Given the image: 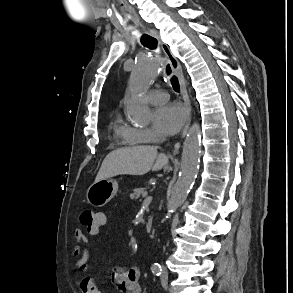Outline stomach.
<instances>
[{"instance_id": "0dacf381", "label": "stomach", "mask_w": 293, "mask_h": 293, "mask_svg": "<svg viewBox=\"0 0 293 293\" xmlns=\"http://www.w3.org/2000/svg\"><path fill=\"white\" fill-rule=\"evenodd\" d=\"M118 183L111 178L94 182L87 190V200L95 207L107 204L117 193Z\"/></svg>"}]
</instances>
